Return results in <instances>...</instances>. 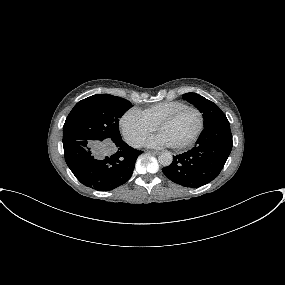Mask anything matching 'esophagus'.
Instances as JSON below:
<instances>
[{"label":"esophagus","instance_id":"obj_1","mask_svg":"<svg viewBox=\"0 0 285 285\" xmlns=\"http://www.w3.org/2000/svg\"><path fill=\"white\" fill-rule=\"evenodd\" d=\"M147 152L152 153V154H159V152L155 150H147Z\"/></svg>","mask_w":285,"mask_h":285}]
</instances>
